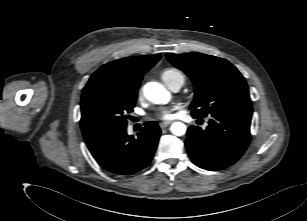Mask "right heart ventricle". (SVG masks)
<instances>
[{"instance_id": "obj_1", "label": "right heart ventricle", "mask_w": 307, "mask_h": 221, "mask_svg": "<svg viewBox=\"0 0 307 221\" xmlns=\"http://www.w3.org/2000/svg\"><path fill=\"white\" fill-rule=\"evenodd\" d=\"M161 79L165 82V84L169 87L172 82L177 79H182L184 81V75L182 72L175 68H166L161 74Z\"/></svg>"}]
</instances>
